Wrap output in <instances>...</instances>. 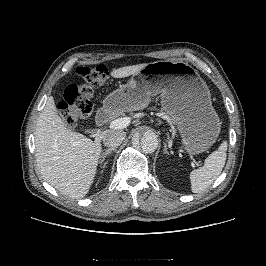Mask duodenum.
<instances>
[{"mask_svg":"<svg viewBox=\"0 0 266 266\" xmlns=\"http://www.w3.org/2000/svg\"><path fill=\"white\" fill-rule=\"evenodd\" d=\"M114 113H115L114 107L107 104L105 107H103L98 111L96 115L97 124L100 126L107 124L114 115Z\"/></svg>","mask_w":266,"mask_h":266,"instance_id":"410a0bca","label":"duodenum"}]
</instances>
